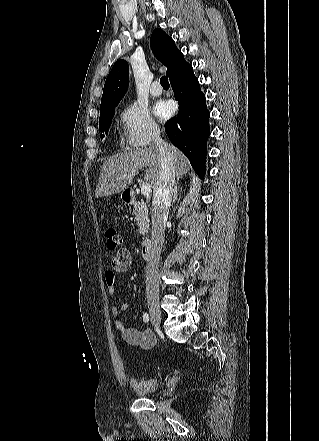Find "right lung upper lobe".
Returning <instances> with one entry per match:
<instances>
[{
    "label": "right lung upper lobe",
    "mask_w": 319,
    "mask_h": 441,
    "mask_svg": "<svg viewBox=\"0 0 319 441\" xmlns=\"http://www.w3.org/2000/svg\"><path fill=\"white\" fill-rule=\"evenodd\" d=\"M150 45L155 57L167 67L166 75L169 79L189 65L181 51L176 48L173 39L162 29L153 31ZM128 85V63L125 60H119L113 65L105 81L100 110L117 106L125 95Z\"/></svg>",
    "instance_id": "right-lung-upper-lobe-1"
}]
</instances>
